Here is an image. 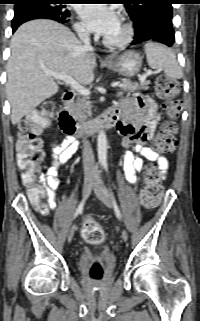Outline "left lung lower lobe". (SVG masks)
<instances>
[{"instance_id": "1", "label": "left lung lower lobe", "mask_w": 200, "mask_h": 321, "mask_svg": "<svg viewBox=\"0 0 200 321\" xmlns=\"http://www.w3.org/2000/svg\"><path fill=\"white\" fill-rule=\"evenodd\" d=\"M135 37L131 44L157 41L172 46L175 41L172 19L161 16H148L134 22Z\"/></svg>"}]
</instances>
